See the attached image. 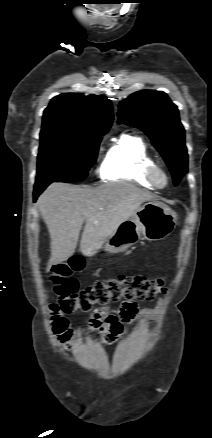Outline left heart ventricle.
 <instances>
[{
    "label": "left heart ventricle",
    "instance_id": "obj_1",
    "mask_svg": "<svg viewBox=\"0 0 212 438\" xmlns=\"http://www.w3.org/2000/svg\"><path fill=\"white\" fill-rule=\"evenodd\" d=\"M157 182L159 183V184H164V182H165V178H164V176L162 175V174H159L158 176H157Z\"/></svg>",
    "mask_w": 212,
    "mask_h": 438
}]
</instances>
